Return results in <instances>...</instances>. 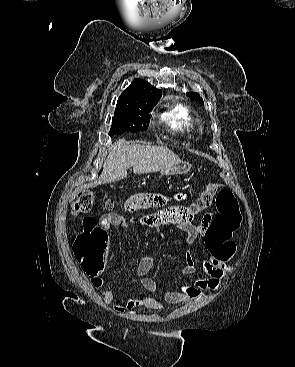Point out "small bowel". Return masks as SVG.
Listing matches in <instances>:
<instances>
[{
	"label": "small bowel",
	"mask_w": 295,
	"mask_h": 367,
	"mask_svg": "<svg viewBox=\"0 0 295 367\" xmlns=\"http://www.w3.org/2000/svg\"><path fill=\"white\" fill-rule=\"evenodd\" d=\"M159 198H166L162 195H142L127 200L123 205V210L132 213L144 208L156 206ZM139 225L142 232L145 229L158 226H168L169 223H176L177 227L186 233L189 248L185 255V264L181 269L182 276H191L198 269L208 274L207 278L194 280L190 285L185 284L177 290L166 291L163 299L168 304L188 303L204 297L203 291L216 289L221 279L230 271V265L227 259L219 257L207 245L208 256L205 259L198 260L193 254V247L201 239L206 238L208 228L212 221L211 214H206L199 224L193 223V213L188 208H160L159 213L143 216L139 219H133ZM127 221L123 215L110 212L100 217L99 224L104 230L111 227L126 225ZM206 244V243H205ZM154 266V259L151 257L143 258L137 265V274L140 276V283L145 291L154 293L157 290V283L148 276V273ZM91 282L97 289L104 285V279L100 276L91 278ZM103 301L107 305H114L115 311L122 313L137 307H147L153 309H164L165 306L150 295H142L136 298L119 299L115 292L108 289L103 294Z\"/></svg>",
	"instance_id": "c3829d8e"
}]
</instances>
